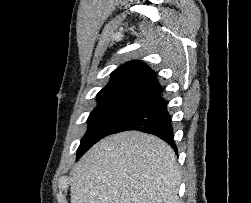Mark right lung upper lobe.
Wrapping results in <instances>:
<instances>
[{
  "mask_svg": "<svg viewBox=\"0 0 251 203\" xmlns=\"http://www.w3.org/2000/svg\"><path fill=\"white\" fill-rule=\"evenodd\" d=\"M153 70L141 62L131 61L117 68L109 83L97 94V107L126 106L151 109L165 100Z\"/></svg>",
  "mask_w": 251,
  "mask_h": 203,
  "instance_id": "1",
  "label": "right lung upper lobe"
}]
</instances>
